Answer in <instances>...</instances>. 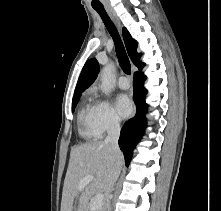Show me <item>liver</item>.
<instances>
[{
  "label": "liver",
  "instance_id": "liver-1",
  "mask_svg": "<svg viewBox=\"0 0 221 211\" xmlns=\"http://www.w3.org/2000/svg\"><path fill=\"white\" fill-rule=\"evenodd\" d=\"M123 155H115L105 142H89L71 149L64 180L61 211H84L93 194H107L114 168L122 164ZM86 176L93 180L79 190L80 181Z\"/></svg>",
  "mask_w": 221,
  "mask_h": 211
}]
</instances>
